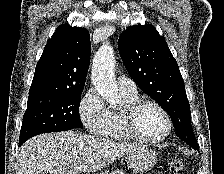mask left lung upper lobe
Returning a JSON list of instances; mask_svg holds the SVG:
<instances>
[{
	"label": "left lung upper lobe",
	"mask_w": 224,
	"mask_h": 174,
	"mask_svg": "<svg viewBox=\"0 0 224 174\" xmlns=\"http://www.w3.org/2000/svg\"><path fill=\"white\" fill-rule=\"evenodd\" d=\"M118 49L133 81L169 114L176 135L198 150L184 81L164 38L151 24L135 25L120 35Z\"/></svg>",
	"instance_id": "5c2ea615"
}]
</instances>
